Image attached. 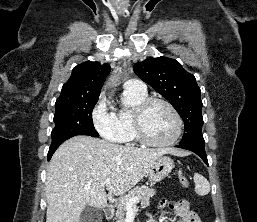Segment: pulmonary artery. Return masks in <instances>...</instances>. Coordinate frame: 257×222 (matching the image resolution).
<instances>
[{"label": "pulmonary artery", "instance_id": "obj_1", "mask_svg": "<svg viewBox=\"0 0 257 222\" xmlns=\"http://www.w3.org/2000/svg\"><path fill=\"white\" fill-rule=\"evenodd\" d=\"M125 89L135 92H146V85L143 81L137 78L129 79L124 84Z\"/></svg>", "mask_w": 257, "mask_h": 222}]
</instances>
